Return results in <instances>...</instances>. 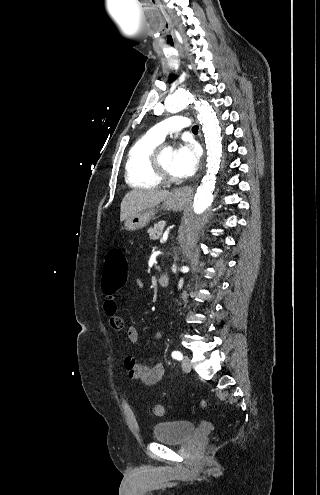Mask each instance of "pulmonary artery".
<instances>
[{"label":"pulmonary artery","instance_id":"1","mask_svg":"<svg viewBox=\"0 0 320 495\" xmlns=\"http://www.w3.org/2000/svg\"><path fill=\"white\" fill-rule=\"evenodd\" d=\"M189 125H190V121L187 117L181 115H174L154 125L149 130V133L153 137L162 141L164 140L166 135L188 128Z\"/></svg>","mask_w":320,"mask_h":495}]
</instances>
